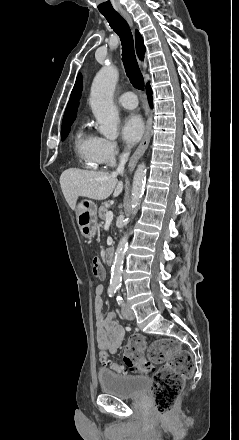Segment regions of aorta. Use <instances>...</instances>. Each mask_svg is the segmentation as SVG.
<instances>
[{
  "mask_svg": "<svg viewBox=\"0 0 239 440\" xmlns=\"http://www.w3.org/2000/svg\"><path fill=\"white\" fill-rule=\"evenodd\" d=\"M118 78L119 72L117 68L109 64V66H103V68L99 70L91 86L89 104L99 124L98 132L102 134V136H105L107 140H116V138H118L119 114L113 104V96ZM145 178V164H140L134 174L132 184L130 208L132 218L136 216L139 210L144 192ZM128 236L129 234H124L115 252L110 280V284L113 288H121L124 258L128 248Z\"/></svg>",
  "mask_w": 239,
  "mask_h": 440,
  "instance_id": "obj_1",
  "label": "aorta"
}]
</instances>
